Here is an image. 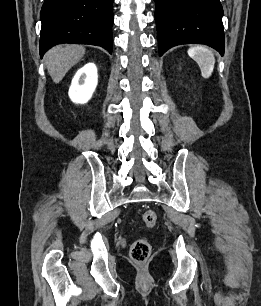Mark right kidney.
<instances>
[{"mask_svg":"<svg viewBox=\"0 0 261 306\" xmlns=\"http://www.w3.org/2000/svg\"><path fill=\"white\" fill-rule=\"evenodd\" d=\"M98 83L97 67L88 63L77 71L69 88V97L75 103H87Z\"/></svg>","mask_w":261,"mask_h":306,"instance_id":"obj_1","label":"right kidney"}]
</instances>
